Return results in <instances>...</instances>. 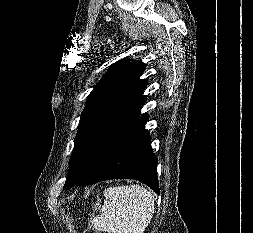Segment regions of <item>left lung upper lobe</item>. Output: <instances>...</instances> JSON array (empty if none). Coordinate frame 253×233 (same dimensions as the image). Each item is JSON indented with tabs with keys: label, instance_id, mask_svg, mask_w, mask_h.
I'll list each match as a JSON object with an SVG mask.
<instances>
[{
	"label": "left lung upper lobe",
	"instance_id": "left-lung-upper-lobe-1",
	"mask_svg": "<svg viewBox=\"0 0 253 233\" xmlns=\"http://www.w3.org/2000/svg\"><path fill=\"white\" fill-rule=\"evenodd\" d=\"M141 61L123 58L112 64L87 97L64 189L76 185L91 169L100 150L120 122L143 98L147 80Z\"/></svg>",
	"mask_w": 253,
	"mask_h": 233
}]
</instances>
